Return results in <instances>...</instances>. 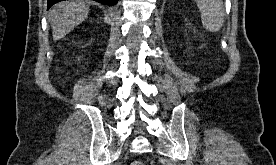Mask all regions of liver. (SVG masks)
Masks as SVG:
<instances>
[{
  "instance_id": "6515ba94",
  "label": "liver",
  "mask_w": 276,
  "mask_h": 165,
  "mask_svg": "<svg viewBox=\"0 0 276 165\" xmlns=\"http://www.w3.org/2000/svg\"><path fill=\"white\" fill-rule=\"evenodd\" d=\"M89 14V6L81 2H59L50 10L52 34L55 41L64 38L71 30L82 23Z\"/></svg>"
}]
</instances>
